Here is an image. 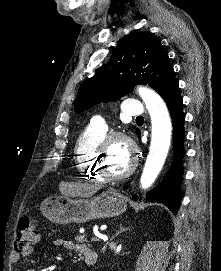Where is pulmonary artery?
<instances>
[{
	"mask_svg": "<svg viewBox=\"0 0 221 271\" xmlns=\"http://www.w3.org/2000/svg\"><path fill=\"white\" fill-rule=\"evenodd\" d=\"M126 102H122V111L125 112V117H136V112H144L143 102H135V98H126ZM105 116V113H102ZM106 117H93V122H86V127H106ZM81 133V138H95V133H108V128H84Z\"/></svg>",
	"mask_w": 221,
	"mask_h": 271,
	"instance_id": "obj_1",
	"label": "pulmonary artery"
}]
</instances>
